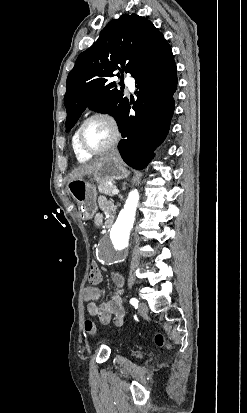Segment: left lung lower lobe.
<instances>
[{"label":"left lung lower lobe","instance_id":"0a47b994","mask_svg":"<svg viewBox=\"0 0 247 413\" xmlns=\"http://www.w3.org/2000/svg\"><path fill=\"white\" fill-rule=\"evenodd\" d=\"M135 83L139 88L133 105L136 116L129 115V104L119 126L122 137L126 138L120 141L119 151L128 165L142 169L164 141L174 113L177 70L171 48L159 51L135 77ZM147 95L150 106L145 102L143 107Z\"/></svg>","mask_w":247,"mask_h":413}]
</instances>
